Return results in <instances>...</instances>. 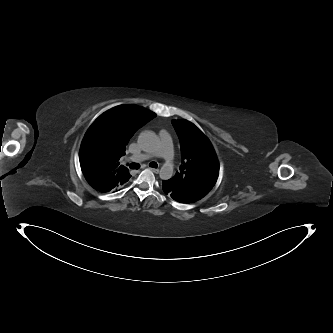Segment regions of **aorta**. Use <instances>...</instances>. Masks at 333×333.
Segmentation results:
<instances>
[{"label": "aorta", "mask_w": 333, "mask_h": 333, "mask_svg": "<svg viewBox=\"0 0 333 333\" xmlns=\"http://www.w3.org/2000/svg\"><path fill=\"white\" fill-rule=\"evenodd\" d=\"M138 143L145 151H152L158 147L159 141L157 135L153 131H143L138 137ZM159 176L163 180H168L172 177V169L164 165L159 171Z\"/></svg>", "instance_id": "obj_1"}]
</instances>
